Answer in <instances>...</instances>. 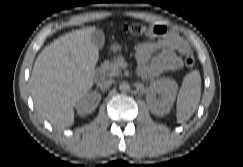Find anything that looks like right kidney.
<instances>
[{
	"label": "right kidney",
	"instance_id": "obj_1",
	"mask_svg": "<svg viewBox=\"0 0 243 167\" xmlns=\"http://www.w3.org/2000/svg\"><path fill=\"white\" fill-rule=\"evenodd\" d=\"M101 100L97 92L85 94L77 103L76 109L79 115H85L95 110Z\"/></svg>",
	"mask_w": 243,
	"mask_h": 167
}]
</instances>
